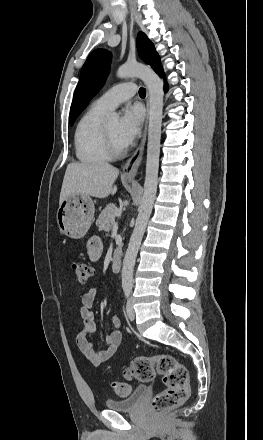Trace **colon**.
Returning <instances> with one entry per match:
<instances>
[{
    "mask_svg": "<svg viewBox=\"0 0 263 440\" xmlns=\"http://www.w3.org/2000/svg\"><path fill=\"white\" fill-rule=\"evenodd\" d=\"M67 268L77 283H85L91 268L83 262L69 261ZM124 375L138 382H150L156 375L162 377L165 389L154 395L150 407L154 414H161L181 405L188 397L187 368L176 361L169 352H160L152 357L139 356L129 362ZM112 387L119 396H127L131 388L127 383L113 382Z\"/></svg>",
    "mask_w": 263,
    "mask_h": 440,
    "instance_id": "colon-1",
    "label": "colon"
}]
</instances>
